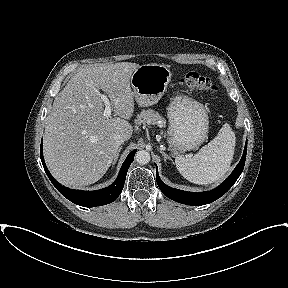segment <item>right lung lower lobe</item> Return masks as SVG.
Here are the masks:
<instances>
[{
  "mask_svg": "<svg viewBox=\"0 0 288 288\" xmlns=\"http://www.w3.org/2000/svg\"><path fill=\"white\" fill-rule=\"evenodd\" d=\"M136 149L129 153L126 160L124 161L119 175L115 182L106 187L104 189L96 190V191H81V190H73L67 187L62 186L59 184L49 173L42 154V144L40 149V157L44 167V170L49 177L52 184L56 187V189L68 200L71 202L83 206V207H95V206H102L108 203L113 202L122 192L124 187L126 174L130 164L134 160V155L136 153Z\"/></svg>",
  "mask_w": 288,
  "mask_h": 288,
  "instance_id": "1",
  "label": "right lung lower lobe"
}]
</instances>
